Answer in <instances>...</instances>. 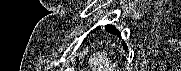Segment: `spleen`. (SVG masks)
Returning a JSON list of instances; mask_svg holds the SVG:
<instances>
[{
  "mask_svg": "<svg viewBox=\"0 0 181 71\" xmlns=\"http://www.w3.org/2000/svg\"><path fill=\"white\" fill-rule=\"evenodd\" d=\"M90 66L93 67V71H113L111 69L114 68L104 54L90 60Z\"/></svg>",
  "mask_w": 181,
  "mask_h": 71,
  "instance_id": "3e777b00",
  "label": "spleen"
}]
</instances>
